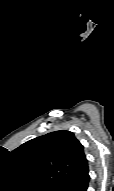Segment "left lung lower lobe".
Wrapping results in <instances>:
<instances>
[{
	"mask_svg": "<svg viewBox=\"0 0 114 191\" xmlns=\"http://www.w3.org/2000/svg\"><path fill=\"white\" fill-rule=\"evenodd\" d=\"M88 172V165H86L64 191H87L89 182Z\"/></svg>",
	"mask_w": 114,
	"mask_h": 191,
	"instance_id": "1",
	"label": "left lung lower lobe"
}]
</instances>
